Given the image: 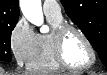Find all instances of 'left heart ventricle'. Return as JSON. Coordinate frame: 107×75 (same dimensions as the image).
Listing matches in <instances>:
<instances>
[{
    "label": "left heart ventricle",
    "instance_id": "left-heart-ventricle-1",
    "mask_svg": "<svg viewBox=\"0 0 107 75\" xmlns=\"http://www.w3.org/2000/svg\"><path fill=\"white\" fill-rule=\"evenodd\" d=\"M63 49L66 60L73 66L86 65L91 59L85 42L76 32L70 31L66 34Z\"/></svg>",
    "mask_w": 107,
    "mask_h": 75
}]
</instances>
